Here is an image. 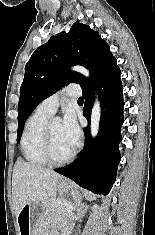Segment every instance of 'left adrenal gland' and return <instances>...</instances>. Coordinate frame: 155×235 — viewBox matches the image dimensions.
<instances>
[{
	"label": "left adrenal gland",
	"instance_id": "left-adrenal-gland-1",
	"mask_svg": "<svg viewBox=\"0 0 155 235\" xmlns=\"http://www.w3.org/2000/svg\"><path fill=\"white\" fill-rule=\"evenodd\" d=\"M83 210H86V209H84L83 205H78L77 206L76 212H77L78 216H81V214L83 213Z\"/></svg>",
	"mask_w": 155,
	"mask_h": 235
}]
</instances>
